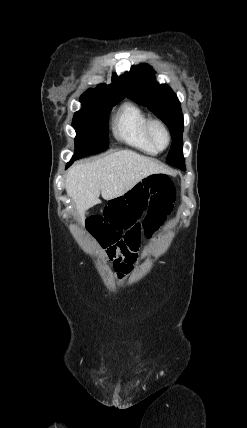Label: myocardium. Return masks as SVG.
Instances as JSON below:
<instances>
[{"mask_svg":"<svg viewBox=\"0 0 247 428\" xmlns=\"http://www.w3.org/2000/svg\"><path fill=\"white\" fill-rule=\"evenodd\" d=\"M158 128L160 129L166 136V144L164 146L158 145L154 137V130ZM146 134L150 143L158 150L163 151L169 147L171 143V134L167 127V125L158 118L149 119L146 124Z\"/></svg>","mask_w":247,"mask_h":428,"instance_id":"obj_1","label":"myocardium"}]
</instances>
